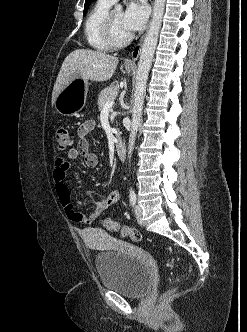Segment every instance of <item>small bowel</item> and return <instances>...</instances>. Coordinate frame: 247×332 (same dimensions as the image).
<instances>
[{
	"label": "small bowel",
	"mask_w": 247,
	"mask_h": 332,
	"mask_svg": "<svg viewBox=\"0 0 247 332\" xmlns=\"http://www.w3.org/2000/svg\"><path fill=\"white\" fill-rule=\"evenodd\" d=\"M95 128L93 120H87L78 128L79 143L75 148H71L67 153V158L58 156L55 159V166L53 170V179L55 182V189L59 202L63 207L67 217L76 223L92 224L102 213L107 211L111 206L117 204L120 200V193L117 190L110 191L108 197L104 200H97L95 202L94 210L90 214H85L76 209L74 200L70 194V188L66 182V173L70 167L69 160H75L81 156L85 165L88 168H95L98 164L97 156L91 151L88 142L89 133ZM90 198L92 193H88ZM77 204H85L82 201H77Z\"/></svg>",
	"instance_id": "small-bowel-1"
}]
</instances>
